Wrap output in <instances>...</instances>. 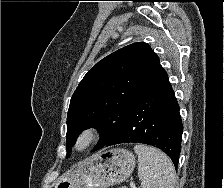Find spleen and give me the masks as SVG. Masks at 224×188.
Segmentation results:
<instances>
[{
    "mask_svg": "<svg viewBox=\"0 0 224 188\" xmlns=\"http://www.w3.org/2000/svg\"><path fill=\"white\" fill-rule=\"evenodd\" d=\"M138 154V176L142 188H174V166L163 152L144 144L134 146Z\"/></svg>",
    "mask_w": 224,
    "mask_h": 188,
    "instance_id": "spleen-1",
    "label": "spleen"
}]
</instances>
